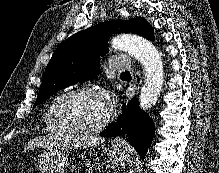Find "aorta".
<instances>
[{
    "instance_id": "762f6f07",
    "label": "aorta",
    "mask_w": 219,
    "mask_h": 173,
    "mask_svg": "<svg viewBox=\"0 0 219 173\" xmlns=\"http://www.w3.org/2000/svg\"><path fill=\"white\" fill-rule=\"evenodd\" d=\"M115 50L128 52L145 70V81L139 95V106L150 110L157 102L164 81L163 62L152 43L132 34H120L111 40Z\"/></svg>"
}]
</instances>
